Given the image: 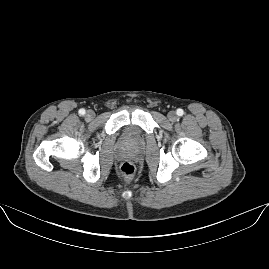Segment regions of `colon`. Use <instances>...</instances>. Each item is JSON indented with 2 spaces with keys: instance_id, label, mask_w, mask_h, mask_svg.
<instances>
[{
  "instance_id": "colon-1",
  "label": "colon",
  "mask_w": 269,
  "mask_h": 269,
  "mask_svg": "<svg viewBox=\"0 0 269 269\" xmlns=\"http://www.w3.org/2000/svg\"><path fill=\"white\" fill-rule=\"evenodd\" d=\"M120 174L123 178H131L136 172L135 165L131 161H125L119 168Z\"/></svg>"
}]
</instances>
